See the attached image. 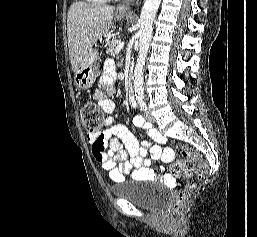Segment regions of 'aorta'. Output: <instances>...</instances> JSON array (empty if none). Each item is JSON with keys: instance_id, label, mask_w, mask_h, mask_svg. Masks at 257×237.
Listing matches in <instances>:
<instances>
[{"instance_id": "aorta-1", "label": "aorta", "mask_w": 257, "mask_h": 237, "mask_svg": "<svg viewBox=\"0 0 257 237\" xmlns=\"http://www.w3.org/2000/svg\"><path fill=\"white\" fill-rule=\"evenodd\" d=\"M161 0H145L141 10L139 25L140 29L138 32L139 36V51L138 57L134 69V91L135 97L138 100L144 98V87H143V73L145 60L148 54L149 45L151 42L153 23L156 17Z\"/></svg>"}]
</instances>
